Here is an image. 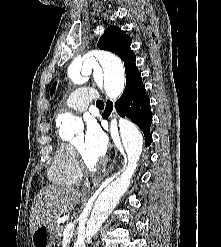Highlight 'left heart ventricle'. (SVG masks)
Masks as SVG:
<instances>
[{
  "instance_id": "left-heart-ventricle-1",
  "label": "left heart ventricle",
  "mask_w": 221,
  "mask_h": 247,
  "mask_svg": "<svg viewBox=\"0 0 221 247\" xmlns=\"http://www.w3.org/2000/svg\"><path fill=\"white\" fill-rule=\"evenodd\" d=\"M73 144L81 151L85 154V156L87 158H89L90 160H95L94 158L90 157L84 150V137L82 135L78 136L75 141L73 142Z\"/></svg>"
}]
</instances>
